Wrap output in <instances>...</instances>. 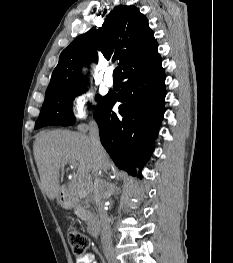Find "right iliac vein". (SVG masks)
I'll return each instance as SVG.
<instances>
[{
  "label": "right iliac vein",
  "mask_w": 233,
  "mask_h": 263,
  "mask_svg": "<svg viewBox=\"0 0 233 263\" xmlns=\"http://www.w3.org/2000/svg\"><path fill=\"white\" fill-rule=\"evenodd\" d=\"M111 263H118V262H116V261H112Z\"/></svg>",
  "instance_id": "63e3f726"
}]
</instances>
